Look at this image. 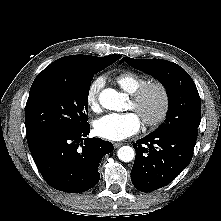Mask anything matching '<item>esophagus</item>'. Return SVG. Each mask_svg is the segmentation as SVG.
<instances>
[{
    "label": "esophagus",
    "mask_w": 221,
    "mask_h": 221,
    "mask_svg": "<svg viewBox=\"0 0 221 221\" xmlns=\"http://www.w3.org/2000/svg\"><path fill=\"white\" fill-rule=\"evenodd\" d=\"M122 145H123V143H121V142H115V143L113 144L114 148H119V147L122 146Z\"/></svg>",
    "instance_id": "esophagus-1"
}]
</instances>
